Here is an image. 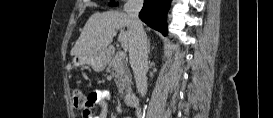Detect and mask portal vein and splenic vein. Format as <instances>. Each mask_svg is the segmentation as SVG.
<instances>
[{
    "mask_svg": "<svg viewBox=\"0 0 273 118\" xmlns=\"http://www.w3.org/2000/svg\"><path fill=\"white\" fill-rule=\"evenodd\" d=\"M117 56H119L120 58H124L126 56L125 52L124 51H119L117 53Z\"/></svg>",
    "mask_w": 273,
    "mask_h": 118,
    "instance_id": "obj_1",
    "label": "portal vein and splenic vein"
}]
</instances>
